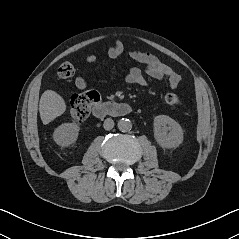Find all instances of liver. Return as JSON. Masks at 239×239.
Returning a JSON list of instances; mask_svg holds the SVG:
<instances>
[{
    "label": "liver",
    "mask_w": 239,
    "mask_h": 239,
    "mask_svg": "<svg viewBox=\"0 0 239 239\" xmlns=\"http://www.w3.org/2000/svg\"><path fill=\"white\" fill-rule=\"evenodd\" d=\"M66 110L64 99L53 90H46L39 103V112L44 125L61 116Z\"/></svg>",
    "instance_id": "obj_1"
}]
</instances>
